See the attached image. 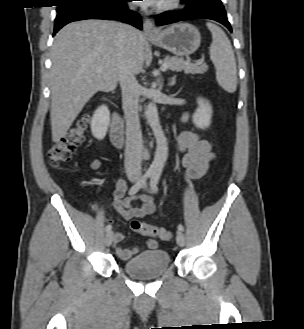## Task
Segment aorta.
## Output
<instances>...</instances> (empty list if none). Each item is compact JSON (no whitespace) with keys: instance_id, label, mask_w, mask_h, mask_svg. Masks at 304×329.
Returning a JSON list of instances; mask_svg holds the SVG:
<instances>
[{"instance_id":"1","label":"aorta","mask_w":304,"mask_h":329,"mask_svg":"<svg viewBox=\"0 0 304 329\" xmlns=\"http://www.w3.org/2000/svg\"><path fill=\"white\" fill-rule=\"evenodd\" d=\"M145 115L157 143L155 157L150 166V170L153 172H161L168 156V145L160 125L158 110L155 102L148 104Z\"/></svg>"}]
</instances>
